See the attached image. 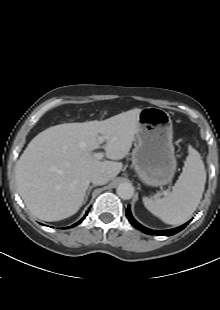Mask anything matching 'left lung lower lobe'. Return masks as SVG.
I'll list each match as a JSON object with an SVG mask.
<instances>
[{"mask_svg":"<svg viewBox=\"0 0 220 310\" xmlns=\"http://www.w3.org/2000/svg\"><path fill=\"white\" fill-rule=\"evenodd\" d=\"M126 216L129 218V222L135 227L137 228L138 230L146 233V234H149V235H159V236H171V235H174L178 232H180L182 229H184L188 223L190 221H188L187 223H185L184 225L180 226V227H177V228H174V229H171V230H163V231H154V230H151V229H148L144 226H142L141 224H139L132 216L131 212H130V206H128L127 210H126Z\"/></svg>","mask_w":220,"mask_h":310,"instance_id":"0a47b994","label":"left lung lower lobe"}]
</instances>
